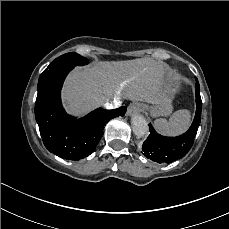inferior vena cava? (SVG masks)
<instances>
[{"instance_id": "obj_1", "label": "inferior vena cava", "mask_w": 229, "mask_h": 229, "mask_svg": "<svg viewBox=\"0 0 229 229\" xmlns=\"http://www.w3.org/2000/svg\"><path fill=\"white\" fill-rule=\"evenodd\" d=\"M118 103H119L118 99L117 98H114L113 102L112 101L111 102L110 101H106L104 103V107L106 109H113L114 107H117L118 106Z\"/></svg>"}]
</instances>
